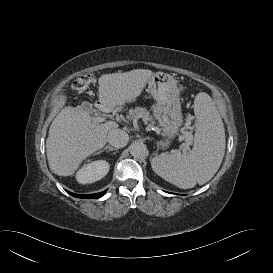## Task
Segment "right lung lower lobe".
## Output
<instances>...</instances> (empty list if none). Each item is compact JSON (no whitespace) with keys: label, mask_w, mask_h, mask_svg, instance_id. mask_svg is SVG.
<instances>
[{"label":"right lung lower lobe","mask_w":273,"mask_h":273,"mask_svg":"<svg viewBox=\"0 0 273 273\" xmlns=\"http://www.w3.org/2000/svg\"><path fill=\"white\" fill-rule=\"evenodd\" d=\"M70 195L74 196V197H78V198H94V199H97V198H100L102 197L106 191L104 192H100V193H96V194H83V195H77V194H74V193H71L69 191H67Z\"/></svg>","instance_id":"1"}]
</instances>
